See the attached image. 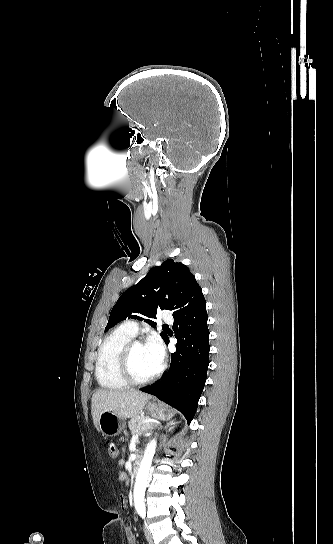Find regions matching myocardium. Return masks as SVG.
I'll return each instance as SVG.
<instances>
[{
	"label": "myocardium",
	"instance_id": "1",
	"mask_svg": "<svg viewBox=\"0 0 333 544\" xmlns=\"http://www.w3.org/2000/svg\"><path fill=\"white\" fill-rule=\"evenodd\" d=\"M144 344L143 341L132 339L130 340L123 348L120 358H119V370L122 378L130 385L134 386H144L153 382L161 373L162 368L160 367L153 375L145 379L136 378L131 369V356L133 349L136 345Z\"/></svg>",
	"mask_w": 333,
	"mask_h": 544
}]
</instances>
